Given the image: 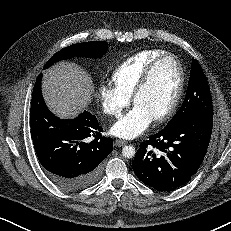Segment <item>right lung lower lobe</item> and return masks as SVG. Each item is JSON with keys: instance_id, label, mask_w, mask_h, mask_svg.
Returning <instances> with one entry per match:
<instances>
[{"instance_id": "1", "label": "right lung lower lobe", "mask_w": 231, "mask_h": 231, "mask_svg": "<svg viewBox=\"0 0 231 231\" xmlns=\"http://www.w3.org/2000/svg\"><path fill=\"white\" fill-rule=\"evenodd\" d=\"M42 74L35 82L31 110V137L47 177L65 191L93 184L103 160L113 150V139L102 137L95 115L84 111L74 119H60L49 111L41 92Z\"/></svg>"}]
</instances>
